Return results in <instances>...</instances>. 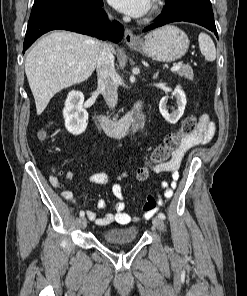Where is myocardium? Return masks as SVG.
I'll return each mask as SVG.
<instances>
[{
	"instance_id": "f54148a6",
	"label": "myocardium",
	"mask_w": 247,
	"mask_h": 296,
	"mask_svg": "<svg viewBox=\"0 0 247 296\" xmlns=\"http://www.w3.org/2000/svg\"><path fill=\"white\" fill-rule=\"evenodd\" d=\"M160 10V0H152L150 10L147 15L143 18L144 22L152 20Z\"/></svg>"
}]
</instances>
